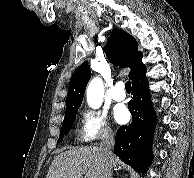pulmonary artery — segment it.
<instances>
[{
    "mask_svg": "<svg viewBox=\"0 0 194 178\" xmlns=\"http://www.w3.org/2000/svg\"><path fill=\"white\" fill-rule=\"evenodd\" d=\"M111 97L117 102H121L125 99L126 94L122 82H118L112 89Z\"/></svg>",
    "mask_w": 194,
    "mask_h": 178,
    "instance_id": "obj_1",
    "label": "pulmonary artery"
}]
</instances>
